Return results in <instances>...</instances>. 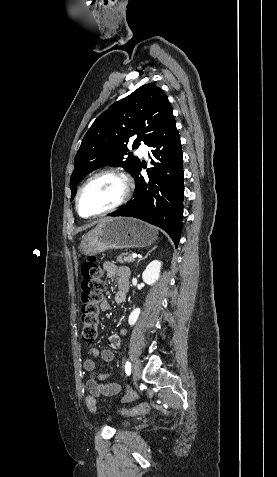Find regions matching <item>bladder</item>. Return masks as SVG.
I'll list each match as a JSON object with an SVG mask.
<instances>
[{"label":"bladder","mask_w":277,"mask_h":477,"mask_svg":"<svg viewBox=\"0 0 277 477\" xmlns=\"http://www.w3.org/2000/svg\"><path fill=\"white\" fill-rule=\"evenodd\" d=\"M122 425H123V426H128V425H130V422L124 421V422H122Z\"/></svg>","instance_id":"1"}]
</instances>
